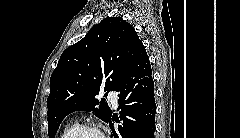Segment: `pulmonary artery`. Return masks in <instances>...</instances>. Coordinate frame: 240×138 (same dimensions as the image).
Listing matches in <instances>:
<instances>
[{"label": "pulmonary artery", "instance_id": "obj_1", "mask_svg": "<svg viewBox=\"0 0 240 138\" xmlns=\"http://www.w3.org/2000/svg\"><path fill=\"white\" fill-rule=\"evenodd\" d=\"M108 99L114 108L118 106V93L116 91H111L108 95Z\"/></svg>", "mask_w": 240, "mask_h": 138}]
</instances>
